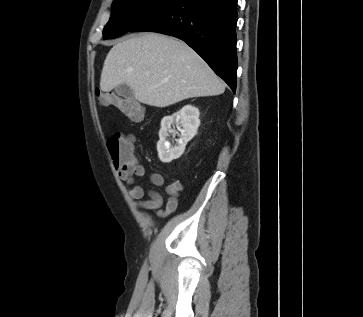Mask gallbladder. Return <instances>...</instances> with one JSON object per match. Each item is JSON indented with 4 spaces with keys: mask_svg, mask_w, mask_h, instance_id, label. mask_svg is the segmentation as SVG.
I'll return each mask as SVG.
<instances>
[{
    "mask_svg": "<svg viewBox=\"0 0 363 317\" xmlns=\"http://www.w3.org/2000/svg\"><path fill=\"white\" fill-rule=\"evenodd\" d=\"M115 92L117 95L126 98L131 99L134 97L133 90L126 84H120L115 88Z\"/></svg>",
    "mask_w": 363,
    "mask_h": 317,
    "instance_id": "bac80fb5",
    "label": "gallbladder"
}]
</instances>
